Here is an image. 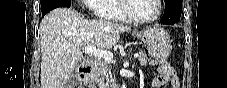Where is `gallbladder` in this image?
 <instances>
[{
  "mask_svg": "<svg viewBox=\"0 0 227 88\" xmlns=\"http://www.w3.org/2000/svg\"><path fill=\"white\" fill-rule=\"evenodd\" d=\"M83 61H81V63H82ZM76 81V70H73L72 71V73H71V76H70V78H69V80H68V85L70 84V85H72V84H74V82Z\"/></svg>",
  "mask_w": 227,
  "mask_h": 88,
  "instance_id": "gallbladder-1",
  "label": "gallbladder"
}]
</instances>
